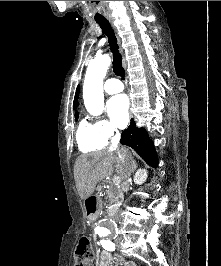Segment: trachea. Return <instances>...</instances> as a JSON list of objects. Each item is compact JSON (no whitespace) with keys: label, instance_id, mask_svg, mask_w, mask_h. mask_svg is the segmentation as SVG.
I'll return each mask as SVG.
<instances>
[{"label":"trachea","instance_id":"3493384b","mask_svg":"<svg viewBox=\"0 0 221 266\" xmlns=\"http://www.w3.org/2000/svg\"><path fill=\"white\" fill-rule=\"evenodd\" d=\"M101 27L103 33L108 37V43L111 52L113 53V71L117 76L124 77L125 71L122 67V56L118 50L117 38L115 36L114 30L112 29L108 20H98L96 21Z\"/></svg>","mask_w":221,"mask_h":266}]
</instances>
